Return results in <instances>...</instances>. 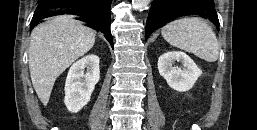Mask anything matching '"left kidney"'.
I'll return each mask as SVG.
<instances>
[{
	"mask_svg": "<svg viewBox=\"0 0 257 130\" xmlns=\"http://www.w3.org/2000/svg\"><path fill=\"white\" fill-rule=\"evenodd\" d=\"M175 61L181 62L183 67L173 66ZM158 70L167 84L178 92L190 90L202 74L195 62L187 54L179 51L162 54L158 59Z\"/></svg>",
	"mask_w": 257,
	"mask_h": 130,
	"instance_id": "left-kidney-1",
	"label": "left kidney"
}]
</instances>
